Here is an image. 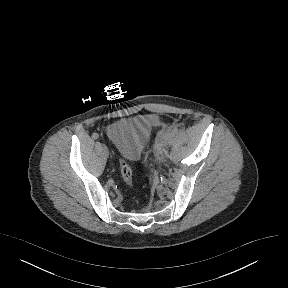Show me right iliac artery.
<instances>
[{
  "mask_svg": "<svg viewBox=\"0 0 288 288\" xmlns=\"http://www.w3.org/2000/svg\"><path fill=\"white\" fill-rule=\"evenodd\" d=\"M98 137H99V135H98L97 133H93V134H92V138H93V139H98Z\"/></svg>",
  "mask_w": 288,
  "mask_h": 288,
  "instance_id": "obj_1",
  "label": "right iliac artery"
}]
</instances>
